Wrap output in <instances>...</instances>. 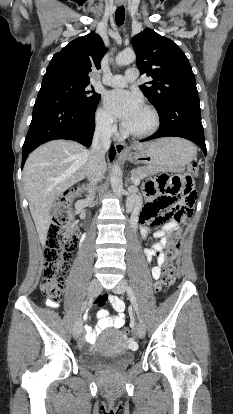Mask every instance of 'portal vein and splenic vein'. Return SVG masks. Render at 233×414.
Segmentation results:
<instances>
[{"label": "portal vein and splenic vein", "instance_id": "obj_1", "mask_svg": "<svg viewBox=\"0 0 233 414\" xmlns=\"http://www.w3.org/2000/svg\"><path fill=\"white\" fill-rule=\"evenodd\" d=\"M134 185H139L140 180L132 178Z\"/></svg>", "mask_w": 233, "mask_h": 414}]
</instances>
